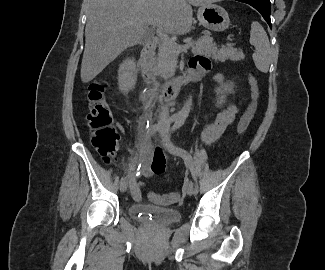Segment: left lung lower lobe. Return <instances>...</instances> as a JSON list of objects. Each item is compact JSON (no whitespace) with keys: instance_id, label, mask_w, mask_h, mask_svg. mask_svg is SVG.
<instances>
[{"instance_id":"left-lung-lower-lobe-1","label":"left lung lower lobe","mask_w":325,"mask_h":270,"mask_svg":"<svg viewBox=\"0 0 325 270\" xmlns=\"http://www.w3.org/2000/svg\"><path fill=\"white\" fill-rule=\"evenodd\" d=\"M240 2L247 3L258 10L263 18L266 20L268 25L271 27L270 13H271V4L270 0H237Z\"/></svg>"}]
</instances>
